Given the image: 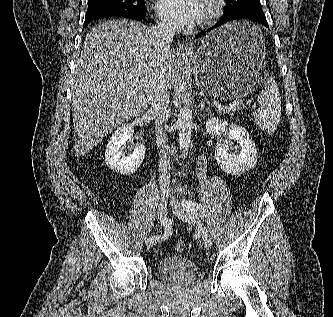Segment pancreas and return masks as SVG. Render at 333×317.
I'll use <instances>...</instances> for the list:
<instances>
[{
    "label": "pancreas",
    "mask_w": 333,
    "mask_h": 317,
    "mask_svg": "<svg viewBox=\"0 0 333 317\" xmlns=\"http://www.w3.org/2000/svg\"><path fill=\"white\" fill-rule=\"evenodd\" d=\"M243 105L241 103L239 104H230V105H220V104H216L215 108L218 112L220 113H234L237 109L241 108Z\"/></svg>",
    "instance_id": "pancreas-1"
}]
</instances>
